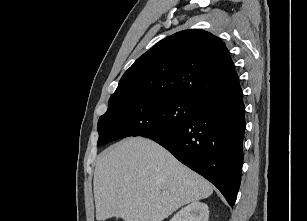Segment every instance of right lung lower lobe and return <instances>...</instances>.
<instances>
[{
  "label": "right lung lower lobe",
  "mask_w": 307,
  "mask_h": 221,
  "mask_svg": "<svg viewBox=\"0 0 307 221\" xmlns=\"http://www.w3.org/2000/svg\"><path fill=\"white\" fill-rule=\"evenodd\" d=\"M244 133L240 92L201 105L186 123L149 138L213 183L234 206L241 181Z\"/></svg>",
  "instance_id": "obj_1"
}]
</instances>
